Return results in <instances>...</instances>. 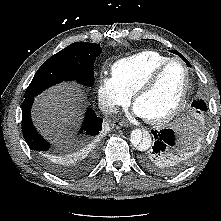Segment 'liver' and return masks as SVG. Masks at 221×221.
I'll return each mask as SVG.
<instances>
[{
  "label": "liver",
  "mask_w": 221,
  "mask_h": 221,
  "mask_svg": "<svg viewBox=\"0 0 221 221\" xmlns=\"http://www.w3.org/2000/svg\"><path fill=\"white\" fill-rule=\"evenodd\" d=\"M84 91L75 83L52 87L35 99L32 119L39 132L60 146L69 138L81 120Z\"/></svg>",
  "instance_id": "obj_1"
}]
</instances>
